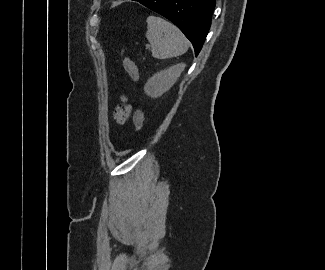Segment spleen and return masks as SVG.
Masks as SVG:
<instances>
[{
  "instance_id": "spleen-1",
  "label": "spleen",
  "mask_w": 325,
  "mask_h": 270,
  "mask_svg": "<svg viewBox=\"0 0 325 270\" xmlns=\"http://www.w3.org/2000/svg\"><path fill=\"white\" fill-rule=\"evenodd\" d=\"M146 22V38L151 44L153 57L167 59L180 56L188 50L187 39L174 24L156 16H149Z\"/></svg>"
}]
</instances>
